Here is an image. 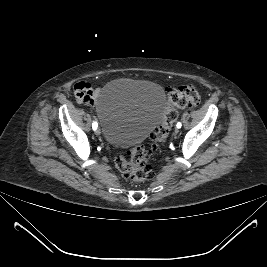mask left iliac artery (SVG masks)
I'll return each instance as SVG.
<instances>
[{
    "label": "left iliac artery",
    "instance_id": "44dca946",
    "mask_svg": "<svg viewBox=\"0 0 267 267\" xmlns=\"http://www.w3.org/2000/svg\"><path fill=\"white\" fill-rule=\"evenodd\" d=\"M177 128H181L182 124L180 122L177 123Z\"/></svg>",
    "mask_w": 267,
    "mask_h": 267
}]
</instances>
